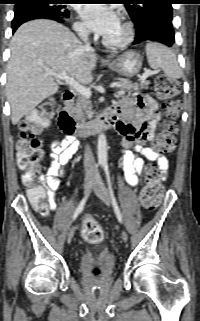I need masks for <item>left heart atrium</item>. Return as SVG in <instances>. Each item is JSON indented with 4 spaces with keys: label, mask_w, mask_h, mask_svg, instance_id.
Segmentation results:
<instances>
[{
    "label": "left heart atrium",
    "mask_w": 200,
    "mask_h": 321,
    "mask_svg": "<svg viewBox=\"0 0 200 321\" xmlns=\"http://www.w3.org/2000/svg\"><path fill=\"white\" fill-rule=\"evenodd\" d=\"M79 12L86 26L102 36L109 34L120 22L117 13L105 4H85Z\"/></svg>",
    "instance_id": "left-heart-atrium-1"
}]
</instances>
